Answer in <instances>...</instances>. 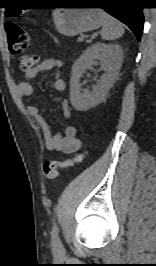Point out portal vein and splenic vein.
I'll return each instance as SVG.
<instances>
[{
    "mask_svg": "<svg viewBox=\"0 0 156 266\" xmlns=\"http://www.w3.org/2000/svg\"><path fill=\"white\" fill-rule=\"evenodd\" d=\"M78 41L79 42H82L83 41V38L82 37L78 38Z\"/></svg>",
    "mask_w": 156,
    "mask_h": 266,
    "instance_id": "obj_1",
    "label": "portal vein and splenic vein"
}]
</instances>
